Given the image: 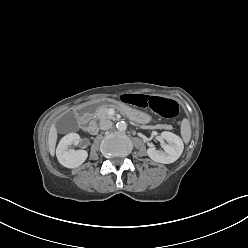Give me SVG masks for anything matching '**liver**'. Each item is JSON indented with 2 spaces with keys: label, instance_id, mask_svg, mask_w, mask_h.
Here are the masks:
<instances>
[{
  "label": "liver",
  "instance_id": "liver-1",
  "mask_svg": "<svg viewBox=\"0 0 248 248\" xmlns=\"http://www.w3.org/2000/svg\"><path fill=\"white\" fill-rule=\"evenodd\" d=\"M56 142H57V129L55 124H53L49 130V135H48V147L50 154L52 156L55 153Z\"/></svg>",
  "mask_w": 248,
  "mask_h": 248
}]
</instances>
